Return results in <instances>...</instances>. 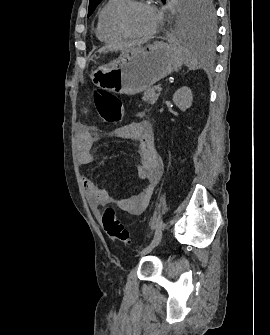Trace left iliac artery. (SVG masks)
Segmentation results:
<instances>
[{
	"instance_id": "obj_1",
	"label": "left iliac artery",
	"mask_w": 270,
	"mask_h": 335,
	"mask_svg": "<svg viewBox=\"0 0 270 335\" xmlns=\"http://www.w3.org/2000/svg\"><path fill=\"white\" fill-rule=\"evenodd\" d=\"M162 239V224H158L151 245H158Z\"/></svg>"
}]
</instances>
